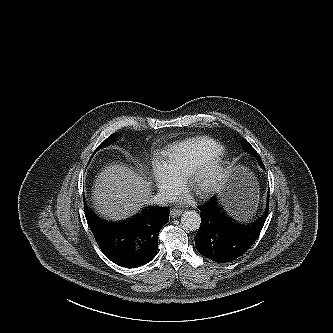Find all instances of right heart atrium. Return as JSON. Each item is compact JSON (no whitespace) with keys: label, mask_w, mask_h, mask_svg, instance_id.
Instances as JSON below:
<instances>
[{"label":"right heart atrium","mask_w":333,"mask_h":333,"mask_svg":"<svg viewBox=\"0 0 333 333\" xmlns=\"http://www.w3.org/2000/svg\"><path fill=\"white\" fill-rule=\"evenodd\" d=\"M151 178L161 196L167 198L182 186V180L167 166L164 160L155 158L151 164Z\"/></svg>","instance_id":"obj_1"}]
</instances>
